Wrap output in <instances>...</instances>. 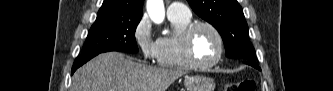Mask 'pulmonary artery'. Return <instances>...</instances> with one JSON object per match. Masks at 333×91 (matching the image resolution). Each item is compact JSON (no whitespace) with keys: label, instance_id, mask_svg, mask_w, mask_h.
<instances>
[{"label":"pulmonary artery","instance_id":"obj_1","mask_svg":"<svg viewBox=\"0 0 333 91\" xmlns=\"http://www.w3.org/2000/svg\"><path fill=\"white\" fill-rule=\"evenodd\" d=\"M169 16H191L189 8L183 3L174 2L167 7Z\"/></svg>","mask_w":333,"mask_h":91}]
</instances>
